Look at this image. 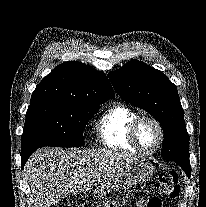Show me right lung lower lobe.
Returning a JSON list of instances; mask_svg holds the SVG:
<instances>
[{
	"mask_svg": "<svg viewBox=\"0 0 206 207\" xmlns=\"http://www.w3.org/2000/svg\"><path fill=\"white\" fill-rule=\"evenodd\" d=\"M32 153H21V157H22V161H21V167L23 168L27 159L29 158V156L31 155Z\"/></svg>",
	"mask_w": 206,
	"mask_h": 207,
	"instance_id": "1",
	"label": "right lung lower lobe"
}]
</instances>
